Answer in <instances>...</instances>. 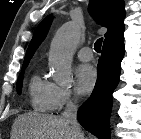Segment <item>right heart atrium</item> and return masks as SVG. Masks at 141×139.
I'll return each instance as SVG.
<instances>
[{
	"label": "right heart atrium",
	"mask_w": 141,
	"mask_h": 139,
	"mask_svg": "<svg viewBox=\"0 0 141 139\" xmlns=\"http://www.w3.org/2000/svg\"><path fill=\"white\" fill-rule=\"evenodd\" d=\"M77 95L68 87H62L54 84L51 110L59 111L64 107L74 104Z\"/></svg>",
	"instance_id": "1"
}]
</instances>
